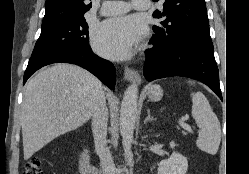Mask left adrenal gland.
Segmentation results:
<instances>
[{
    "mask_svg": "<svg viewBox=\"0 0 249 174\" xmlns=\"http://www.w3.org/2000/svg\"><path fill=\"white\" fill-rule=\"evenodd\" d=\"M155 120L156 119L150 114V109H147V117L145 118L144 123L146 124L149 121H155Z\"/></svg>",
    "mask_w": 249,
    "mask_h": 174,
    "instance_id": "obj_1",
    "label": "left adrenal gland"
}]
</instances>
